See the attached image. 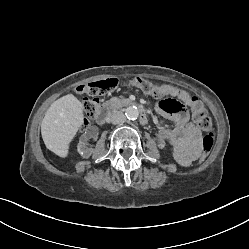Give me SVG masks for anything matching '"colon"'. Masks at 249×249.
<instances>
[{"label": "colon", "mask_w": 249, "mask_h": 249, "mask_svg": "<svg viewBox=\"0 0 249 249\" xmlns=\"http://www.w3.org/2000/svg\"><path fill=\"white\" fill-rule=\"evenodd\" d=\"M127 84L146 94L153 95L155 97H162V99L165 98L162 87L144 78H133L129 80ZM116 85L117 81L115 79H105L80 84L75 88V91L78 94L86 96L84 101V112L87 118H93L96 115L99 105V97L109 92ZM193 109L195 122L205 133L202 139V157H205L211 151L214 143L212 134L213 123L207 109L200 103V101L195 102Z\"/></svg>", "instance_id": "1"}]
</instances>
